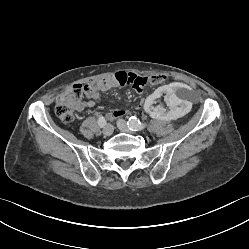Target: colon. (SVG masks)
I'll return each instance as SVG.
<instances>
[{"label": "colon", "mask_w": 249, "mask_h": 249, "mask_svg": "<svg viewBox=\"0 0 249 249\" xmlns=\"http://www.w3.org/2000/svg\"><path fill=\"white\" fill-rule=\"evenodd\" d=\"M171 76L159 75H147L146 77L133 76L129 79L127 85L136 89V93L141 95L143 88L148 84L164 83L165 81H171ZM85 93V86L81 84H75L69 87L63 92L56 101L55 114L64 123H70L74 120L75 107L81 102Z\"/></svg>", "instance_id": "colon-1"}]
</instances>
